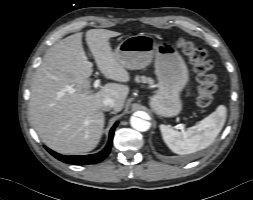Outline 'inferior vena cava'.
Instances as JSON below:
<instances>
[{"instance_id":"602c4592","label":"inferior vena cava","mask_w":253,"mask_h":200,"mask_svg":"<svg viewBox=\"0 0 253 200\" xmlns=\"http://www.w3.org/2000/svg\"><path fill=\"white\" fill-rule=\"evenodd\" d=\"M114 106H115V101H114V99H112V98H106V99L103 101V107H102V109H103L104 111H108V110L114 108Z\"/></svg>"}]
</instances>
